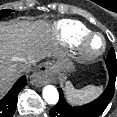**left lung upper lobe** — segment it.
Wrapping results in <instances>:
<instances>
[{"label": "left lung upper lobe", "instance_id": "obj_1", "mask_svg": "<svg viewBox=\"0 0 117 117\" xmlns=\"http://www.w3.org/2000/svg\"><path fill=\"white\" fill-rule=\"evenodd\" d=\"M106 65L108 67L111 65L117 67V60H116L114 48H111L109 51V54L106 59Z\"/></svg>", "mask_w": 117, "mask_h": 117}]
</instances>
